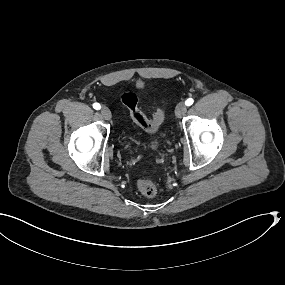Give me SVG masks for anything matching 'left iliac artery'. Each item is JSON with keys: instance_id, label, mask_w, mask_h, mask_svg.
<instances>
[{"instance_id": "1", "label": "left iliac artery", "mask_w": 285, "mask_h": 285, "mask_svg": "<svg viewBox=\"0 0 285 285\" xmlns=\"http://www.w3.org/2000/svg\"><path fill=\"white\" fill-rule=\"evenodd\" d=\"M194 100L192 98H189L186 100L185 104L186 106H191L193 104Z\"/></svg>"}]
</instances>
